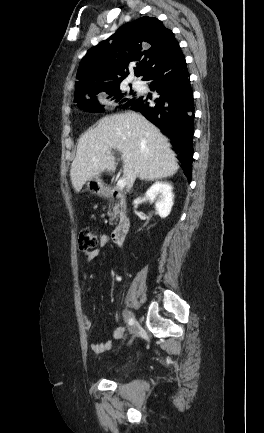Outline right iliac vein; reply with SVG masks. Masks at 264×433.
Listing matches in <instances>:
<instances>
[{"label":"right iliac vein","mask_w":264,"mask_h":433,"mask_svg":"<svg viewBox=\"0 0 264 433\" xmlns=\"http://www.w3.org/2000/svg\"><path fill=\"white\" fill-rule=\"evenodd\" d=\"M136 330H137V322L135 321L133 323V326L130 328V333L134 334L136 332Z\"/></svg>","instance_id":"63e3f726"}]
</instances>
